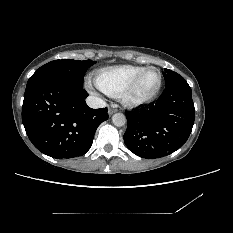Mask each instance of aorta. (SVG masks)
<instances>
[{
	"label": "aorta",
	"instance_id": "obj_1",
	"mask_svg": "<svg viewBox=\"0 0 233 233\" xmlns=\"http://www.w3.org/2000/svg\"><path fill=\"white\" fill-rule=\"evenodd\" d=\"M112 122L115 126L121 127L126 123V117L122 113H116L112 116Z\"/></svg>",
	"mask_w": 233,
	"mask_h": 233
}]
</instances>
